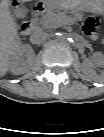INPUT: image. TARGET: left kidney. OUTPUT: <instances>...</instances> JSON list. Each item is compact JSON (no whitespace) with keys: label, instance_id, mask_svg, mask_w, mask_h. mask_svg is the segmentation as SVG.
Segmentation results:
<instances>
[{"label":"left kidney","instance_id":"5707ae66","mask_svg":"<svg viewBox=\"0 0 104 137\" xmlns=\"http://www.w3.org/2000/svg\"><path fill=\"white\" fill-rule=\"evenodd\" d=\"M92 61L95 62L96 64L103 65L104 63L103 54L100 52H95L92 56ZM87 64H90V63L87 62Z\"/></svg>","mask_w":104,"mask_h":137}]
</instances>
